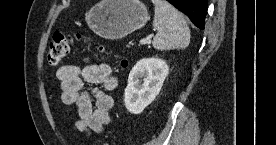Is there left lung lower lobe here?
Masks as SVG:
<instances>
[{
  "label": "left lung lower lobe",
  "instance_id": "0a47b994",
  "mask_svg": "<svg viewBox=\"0 0 276 145\" xmlns=\"http://www.w3.org/2000/svg\"><path fill=\"white\" fill-rule=\"evenodd\" d=\"M186 14L200 29H204L207 14V0H167Z\"/></svg>",
  "mask_w": 276,
  "mask_h": 145
}]
</instances>
